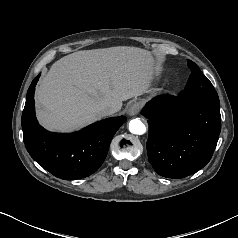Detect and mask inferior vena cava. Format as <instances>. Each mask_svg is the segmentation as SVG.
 I'll return each mask as SVG.
<instances>
[{
    "label": "inferior vena cava",
    "mask_w": 238,
    "mask_h": 238,
    "mask_svg": "<svg viewBox=\"0 0 238 238\" xmlns=\"http://www.w3.org/2000/svg\"><path fill=\"white\" fill-rule=\"evenodd\" d=\"M98 111H99V114L103 117V116H109L114 114L116 112V109L110 106H101L98 109Z\"/></svg>",
    "instance_id": "obj_1"
}]
</instances>
